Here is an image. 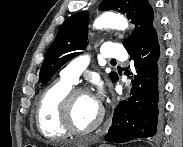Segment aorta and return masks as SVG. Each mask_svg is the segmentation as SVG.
<instances>
[{
	"instance_id": "obj_1",
	"label": "aorta",
	"mask_w": 183,
	"mask_h": 147,
	"mask_svg": "<svg viewBox=\"0 0 183 147\" xmlns=\"http://www.w3.org/2000/svg\"><path fill=\"white\" fill-rule=\"evenodd\" d=\"M93 27L96 29L113 28L125 30L128 27V22L120 14L106 12L95 19Z\"/></svg>"
}]
</instances>
